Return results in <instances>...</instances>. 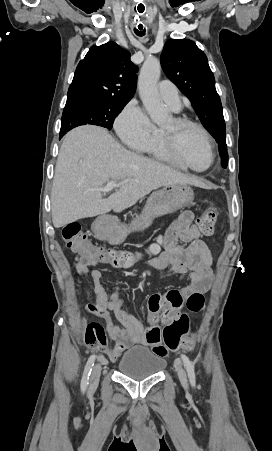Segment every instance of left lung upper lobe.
Returning a JSON list of instances; mask_svg holds the SVG:
<instances>
[{"mask_svg":"<svg viewBox=\"0 0 272 451\" xmlns=\"http://www.w3.org/2000/svg\"><path fill=\"white\" fill-rule=\"evenodd\" d=\"M161 65L167 77L192 102L200 121L216 139L222 166L226 168L228 153L222 105L205 53L191 40L170 39L165 43Z\"/></svg>","mask_w":272,"mask_h":451,"instance_id":"1","label":"left lung upper lobe"}]
</instances>
